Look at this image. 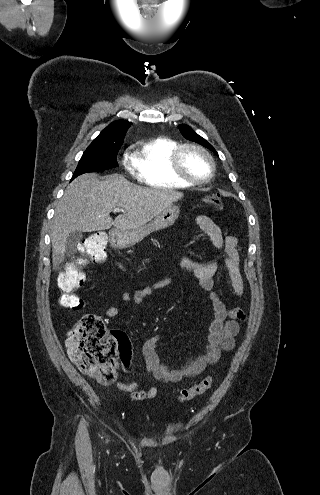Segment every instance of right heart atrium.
<instances>
[{"instance_id": "d8ad5b80", "label": "right heart atrium", "mask_w": 320, "mask_h": 495, "mask_svg": "<svg viewBox=\"0 0 320 495\" xmlns=\"http://www.w3.org/2000/svg\"><path fill=\"white\" fill-rule=\"evenodd\" d=\"M123 164L126 168H129V169L134 166L133 159L128 153H125L123 156Z\"/></svg>"}]
</instances>
